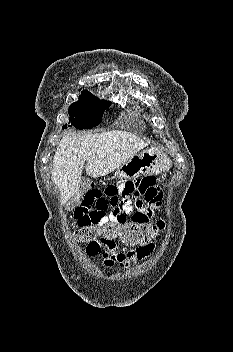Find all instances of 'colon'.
<instances>
[{
    "mask_svg": "<svg viewBox=\"0 0 233 352\" xmlns=\"http://www.w3.org/2000/svg\"><path fill=\"white\" fill-rule=\"evenodd\" d=\"M163 228L164 222L162 220L141 225L132 223L119 225L109 222L102 227L92 220L80 224L74 236L78 242L86 245L119 239L128 246H141L150 242Z\"/></svg>",
    "mask_w": 233,
    "mask_h": 352,
    "instance_id": "obj_1",
    "label": "colon"
}]
</instances>
